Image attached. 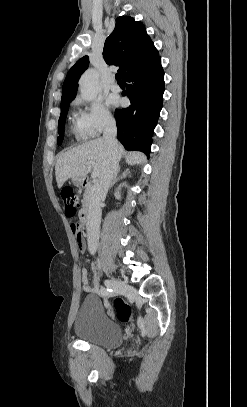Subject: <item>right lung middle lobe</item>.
<instances>
[{
    "label": "right lung middle lobe",
    "instance_id": "1",
    "mask_svg": "<svg viewBox=\"0 0 247 407\" xmlns=\"http://www.w3.org/2000/svg\"><path fill=\"white\" fill-rule=\"evenodd\" d=\"M71 101L72 100L66 101L61 104V114H60V118H59V127H58L59 137L57 138L58 145L61 144L62 139L64 137L65 120H66L67 111H68Z\"/></svg>",
    "mask_w": 247,
    "mask_h": 407
}]
</instances>
